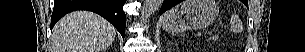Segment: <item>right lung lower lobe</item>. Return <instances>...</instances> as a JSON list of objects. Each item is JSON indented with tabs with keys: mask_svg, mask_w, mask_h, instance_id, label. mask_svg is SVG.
Instances as JSON below:
<instances>
[{
	"mask_svg": "<svg viewBox=\"0 0 305 52\" xmlns=\"http://www.w3.org/2000/svg\"><path fill=\"white\" fill-rule=\"evenodd\" d=\"M126 0H55L51 28L65 14L76 10L95 12L108 20L124 38L126 15L123 5Z\"/></svg>",
	"mask_w": 305,
	"mask_h": 52,
	"instance_id": "obj_1",
	"label": "right lung lower lobe"
}]
</instances>
